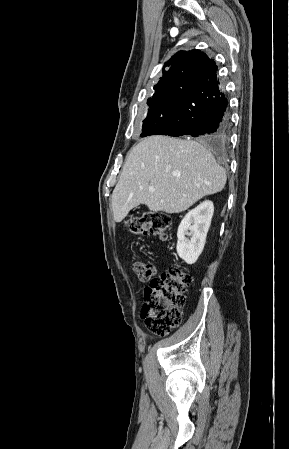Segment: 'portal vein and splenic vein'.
<instances>
[{
    "label": "portal vein and splenic vein",
    "mask_w": 289,
    "mask_h": 449,
    "mask_svg": "<svg viewBox=\"0 0 289 449\" xmlns=\"http://www.w3.org/2000/svg\"><path fill=\"white\" fill-rule=\"evenodd\" d=\"M149 190H150L151 192H154V191H155V188H154V187H150Z\"/></svg>",
    "instance_id": "1"
}]
</instances>
